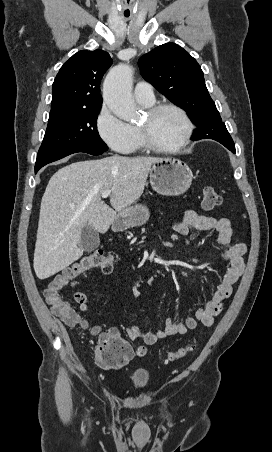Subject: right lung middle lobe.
I'll return each mask as SVG.
<instances>
[{
  "mask_svg": "<svg viewBox=\"0 0 272 452\" xmlns=\"http://www.w3.org/2000/svg\"><path fill=\"white\" fill-rule=\"evenodd\" d=\"M100 108L50 114L37 158L64 153L74 148L105 152L107 145L97 131Z\"/></svg>",
  "mask_w": 272,
  "mask_h": 452,
  "instance_id": "right-lung-middle-lobe-1",
  "label": "right lung middle lobe"
}]
</instances>
